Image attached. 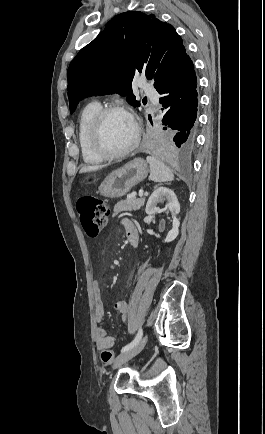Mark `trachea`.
<instances>
[{
  "label": "trachea",
  "mask_w": 265,
  "mask_h": 434,
  "mask_svg": "<svg viewBox=\"0 0 265 434\" xmlns=\"http://www.w3.org/2000/svg\"><path fill=\"white\" fill-rule=\"evenodd\" d=\"M143 100H147V98L145 97Z\"/></svg>",
  "instance_id": "trachea-1"
}]
</instances>
